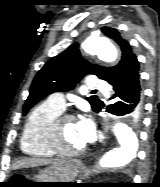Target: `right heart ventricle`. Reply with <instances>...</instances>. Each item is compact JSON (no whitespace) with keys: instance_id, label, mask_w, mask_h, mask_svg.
<instances>
[{"instance_id":"1","label":"right heart ventricle","mask_w":160,"mask_h":187,"mask_svg":"<svg viewBox=\"0 0 160 187\" xmlns=\"http://www.w3.org/2000/svg\"><path fill=\"white\" fill-rule=\"evenodd\" d=\"M62 111L49 101L33 108L21 135L20 146L25 155L36 158H50L56 155L48 144V130L53 118Z\"/></svg>"}]
</instances>
